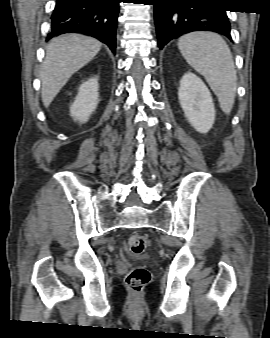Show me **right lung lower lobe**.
<instances>
[{"label": "right lung lower lobe", "mask_w": 270, "mask_h": 338, "mask_svg": "<svg viewBox=\"0 0 270 338\" xmlns=\"http://www.w3.org/2000/svg\"><path fill=\"white\" fill-rule=\"evenodd\" d=\"M120 0H57L47 40L75 32L95 37L116 48V23Z\"/></svg>", "instance_id": "98d812e1"}]
</instances>
